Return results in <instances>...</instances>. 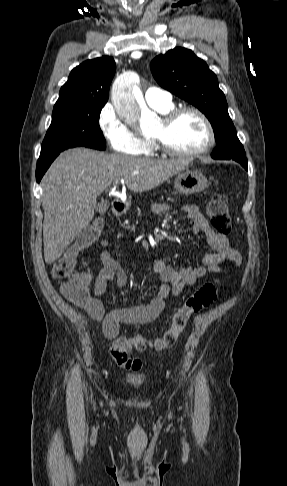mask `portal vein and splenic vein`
Segmentation results:
<instances>
[{"label":"portal vein and splenic vein","mask_w":287,"mask_h":486,"mask_svg":"<svg viewBox=\"0 0 287 486\" xmlns=\"http://www.w3.org/2000/svg\"><path fill=\"white\" fill-rule=\"evenodd\" d=\"M123 181V179H121V182ZM119 184V181H116L113 183V185L116 187L117 185ZM112 193V192H111Z\"/></svg>","instance_id":"obj_1"}]
</instances>
